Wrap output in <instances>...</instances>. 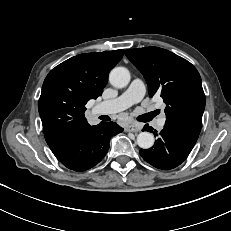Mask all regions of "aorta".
Listing matches in <instances>:
<instances>
[{"mask_svg":"<svg viewBox=\"0 0 231 231\" xmlns=\"http://www.w3.org/2000/svg\"><path fill=\"white\" fill-rule=\"evenodd\" d=\"M130 72L125 67H115L109 74V81L116 88H124L130 82ZM154 136L152 133L144 131L138 134L137 144L142 149H149L154 145Z\"/></svg>","mask_w":231,"mask_h":231,"instance_id":"aorta-1","label":"aorta"}]
</instances>
